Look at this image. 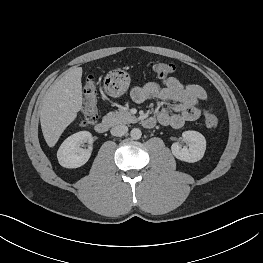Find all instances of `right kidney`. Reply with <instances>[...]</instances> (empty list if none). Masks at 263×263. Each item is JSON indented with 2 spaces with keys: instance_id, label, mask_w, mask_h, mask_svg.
I'll return each mask as SVG.
<instances>
[{
  "instance_id": "obj_1",
  "label": "right kidney",
  "mask_w": 263,
  "mask_h": 263,
  "mask_svg": "<svg viewBox=\"0 0 263 263\" xmlns=\"http://www.w3.org/2000/svg\"><path fill=\"white\" fill-rule=\"evenodd\" d=\"M92 144L91 133L80 131L69 136L60 146L57 152L59 164L65 168H78L84 165L91 156L92 147L82 149L83 142Z\"/></svg>"
}]
</instances>
